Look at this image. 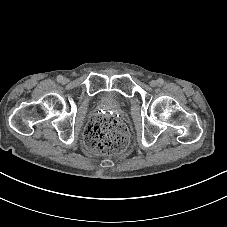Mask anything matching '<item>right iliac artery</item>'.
Instances as JSON below:
<instances>
[{"mask_svg": "<svg viewBox=\"0 0 227 227\" xmlns=\"http://www.w3.org/2000/svg\"><path fill=\"white\" fill-rule=\"evenodd\" d=\"M56 80H57V82H62L63 76L62 75L57 76Z\"/></svg>", "mask_w": 227, "mask_h": 227, "instance_id": "82829eb1", "label": "right iliac artery"}]
</instances>
